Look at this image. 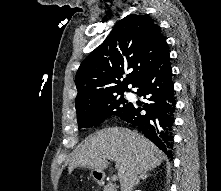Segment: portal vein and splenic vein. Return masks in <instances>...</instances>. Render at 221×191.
Wrapping results in <instances>:
<instances>
[{
    "mask_svg": "<svg viewBox=\"0 0 221 191\" xmlns=\"http://www.w3.org/2000/svg\"><path fill=\"white\" fill-rule=\"evenodd\" d=\"M109 160H113V158L109 157ZM114 180H116V178Z\"/></svg>",
    "mask_w": 221,
    "mask_h": 191,
    "instance_id": "18ae733b",
    "label": "portal vein and splenic vein"
}]
</instances>
